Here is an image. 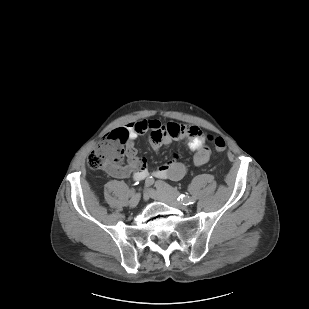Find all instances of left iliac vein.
<instances>
[{"instance_id": "obj_1", "label": "left iliac vein", "mask_w": 309, "mask_h": 309, "mask_svg": "<svg viewBox=\"0 0 309 309\" xmlns=\"http://www.w3.org/2000/svg\"><path fill=\"white\" fill-rule=\"evenodd\" d=\"M148 195L158 201L164 202L170 206L182 209V210H187L188 207L185 206L181 201L177 200L175 197L160 191V190H154V189H148L147 190Z\"/></svg>"}]
</instances>
